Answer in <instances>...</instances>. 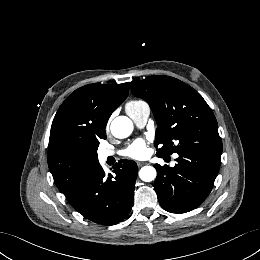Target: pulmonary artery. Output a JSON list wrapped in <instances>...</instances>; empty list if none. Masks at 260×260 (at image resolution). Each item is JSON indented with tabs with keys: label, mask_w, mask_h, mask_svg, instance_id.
I'll use <instances>...</instances> for the list:
<instances>
[{
	"label": "pulmonary artery",
	"mask_w": 260,
	"mask_h": 260,
	"mask_svg": "<svg viewBox=\"0 0 260 260\" xmlns=\"http://www.w3.org/2000/svg\"><path fill=\"white\" fill-rule=\"evenodd\" d=\"M126 112L130 116V118L133 120V122L136 124L137 127L142 128L147 123V120L150 115V108L149 106L144 103L139 106H126ZM101 158L105 159L109 156H112L115 154L113 150L109 149H103L99 152Z\"/></svg>",
	"instance_id": "obj_1"
}]
</instances>
